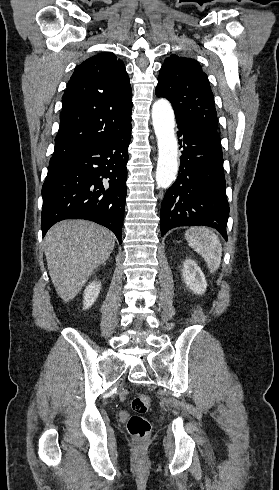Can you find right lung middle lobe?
I'll return each mask as SVG.
<instances>
[{"label":"right lung middle lobe","mask_w":279,"mask_h":490,"mask_svg":"<svg viewBox=\"0 0 279 490\" xmlns=\"http://www.w3.org/2000/svg\"><path fill=\"white\" fill-rule=\"evenodd\" d=\"M53 166L52 165H49V168L48 169H51Z\"/></svg>","instance_id":"obj_1"}]
</instances>
